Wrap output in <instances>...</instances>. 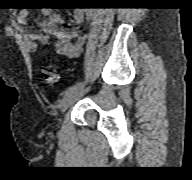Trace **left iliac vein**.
Segmentation results:
<instances>
[{"instance_id":"obj_1","label":"left iliac vein","mask_w":192,"mask_h":180,"mask_svg":"<svg viewBox=\"0 0 192 180\" xmlns=\"http://www.w3.org/2000/svg\"><path fill=\"white\" fill-rule=\"evenodd\" d=\"M88 89H85L83 86L78 88L77 90L69 93L61 103V112L65 113L66 110L80 97H82Z\"/></svg>"}]
</instances>
